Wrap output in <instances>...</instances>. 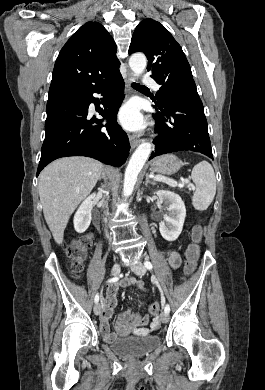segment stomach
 I'll list each match as a JSON object with an SVG mask.
<instances>
[{"label": "stomach", "mask_w": 265, "mask_h": 390, "mask_svg": "<svg viewBox=\"0 0 265 390\" xmlns=\"http://www.w3.org/2000/svg\"><path fill=\"white\" fill-rule=\"evenodd\" d=\"M180 167L181 161L173 154L159 156L151 162V170L163 175L175 174Z\"/></svg>", "instance_id": "0dacf381"}]
</instances>
